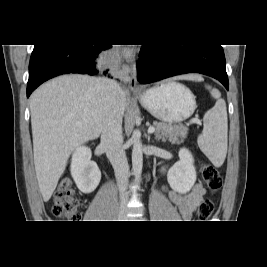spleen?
Here are the masks:
<instances>
[{
  "instance_id": "obj_1",
  "label": "spleen",
  "mask_w": 267,
  "mask_h": 267,
  "mask_svg": "<svg viewBox=\"0 0 267 267\" xmlns=\"http://www.w3.org/2000/svg\"><path fill=\"white\" fill-rule=\"evenodd\" d=\"M211 96L215 98V106L207 111L203 117L204 128L199 135L197 143L201 151L209 158L212 164L220 167L227 153V110L221 93L215 88L207 86Z\"/></svg>"
}]
</instances>
